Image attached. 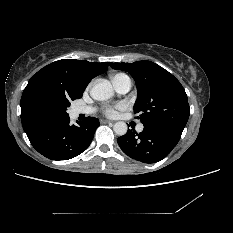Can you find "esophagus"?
<instances>
[{
  "label": "esophagus",
  "mask_w": 233,
  "mask_h": 233,
  "mask_svg": "<svg viewBox=\"0 0 233 233\" xmlns=\"http://www.w3.org/2000/svg\"><path fill=\"white\" fill-rule=\"evenodd\" d=\"M101 122H102V123H105V124H113V123H114V122L109 121V120H102Z\"/></svg>",
  "instance_id": "esophagus-1"
}]
</instances>
